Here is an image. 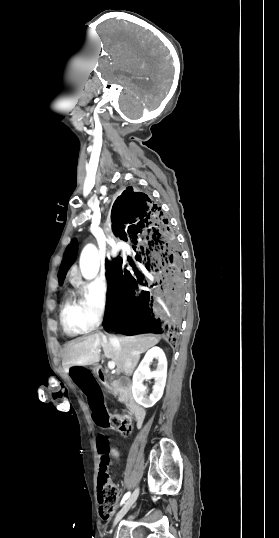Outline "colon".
<instances>
[{
  "instance_id": "5ec220e1",
  "label": "colon",
  "mask_w": 279,
  "mask_h": 538,
  "mask_svg": "<svg viewBox=\"0 0 279 538\" xmlns=\"http://www.w3.org/2000/svg\"><path fill=\"white\" fill-rule=\"evenodd\" d=\"M108 427L122 435H129L133 431V423L126 415H114L110 417ZM96 444L100 456L98 475L99 513L104 520H109L115 512L119 493L108 474L111 453L109 441L104 436H99Z\"/></svg>"
}]
</instances>
